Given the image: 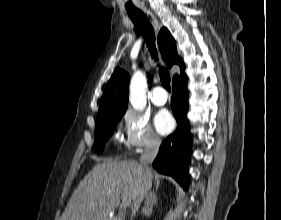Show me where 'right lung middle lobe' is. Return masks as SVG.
I'll return each mask as SVG.
<instances>
[{"label": "right lung middle lobe", "mask_w": 281, "mask_h": 220, "mask_svg": "<svg viewBox=\"0 0 281 220\" xmlns=\"http://www.w3.org/2000/svg\"><path fill=\"white\" fill-rule=\"evenodd\" d=\"M122 115H116L96 121V130L94 135L95 151L101 153L104 148V143L112 135L117 122L121 119Z\"/></svg>", "instance_id": "obj_1"}]
</instances>
